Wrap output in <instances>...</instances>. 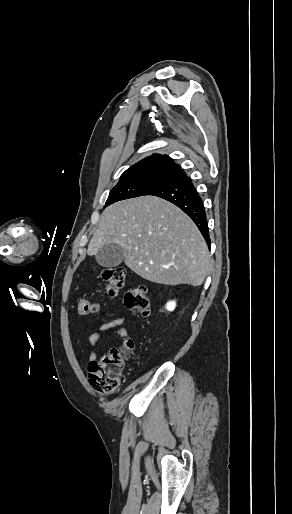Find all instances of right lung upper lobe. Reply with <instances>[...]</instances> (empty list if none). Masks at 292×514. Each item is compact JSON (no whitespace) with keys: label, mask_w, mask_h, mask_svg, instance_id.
<instances>
[{"label":"right lung upper lobe","mask_w":292,"mask_h":514,"mask_svg":"<svg viewBox=\"0 0 292 514\" xmlns=\"http://www.w3.org/2000/svg\"><path fill=\"white\" fill-rule=\"evenodd\" d=\"M179 171H181L180 166L174 163L171 159H169V156L154 154L134 164L129 169H127L123 174L165 172L172 175Z\"/></svg>","instance_id":"cb5924a9"}]
</instances>
